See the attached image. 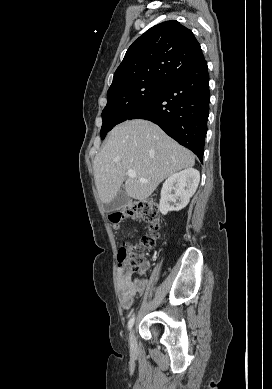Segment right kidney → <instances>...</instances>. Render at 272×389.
<instances>
[{
  "label": "right kidney",
  "instance_id": "1",
  "mask_svg": "<svg viewBox=\"0 0 272 389\" xmlns=\"http://www.w3.org/2000/svg\"><path fill=\"white\" fill-rule=\"evenodd\" d=\"M199 181L200 173L194 168L185 169L168 177L161 190L160 212L166 215L170 211H179L186 207L196 192Z\"/></svg>",
  "mask_w": 272,
  "mask_h": 389
}]
</instances>
